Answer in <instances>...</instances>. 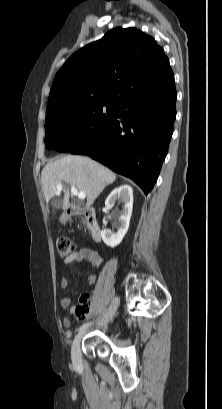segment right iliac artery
Here are the masks:
<instances>
[{
  "label": "right iliac artery",
  "mask_w": 222,
  "mask_h": 409,
  "mask_svg": "<svg viewBox=\"0 0 222 409\" xmlns=\"http://www.w3.org/2000/svg\"><path fill=\"white\" fill-rule=\"evenodd\" d=\"M102 315H104V312H103ZM91 324H92V322L84 323L78 330H79V331H82V330L88 328Z\"/></svg>",
  "instance_id": "1"
}]
</instances>
